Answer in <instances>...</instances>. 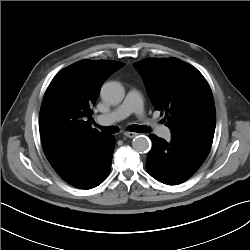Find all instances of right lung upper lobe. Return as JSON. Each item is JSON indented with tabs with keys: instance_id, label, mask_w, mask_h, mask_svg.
I'll return each mask as SVG.
<instances>
[{
	"instance_id": "1",
	"label": "right lung upper lobe",
	"mask_w": 250,
	"mask_h": 250,
	"mask_svg": "<svg viewBox=\"0 0 250 250\" xmlns=\"http://www.w3.org/2000/svg\"><path fill=\"white\" fill-rule=\"evenodd\" d=\"M123 66L117 61L82 60L53 78L39 115L43 149L50 163L102 134L90 125L92 108L103 82Z\"/></svg>"
}]
</instances>
